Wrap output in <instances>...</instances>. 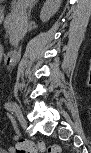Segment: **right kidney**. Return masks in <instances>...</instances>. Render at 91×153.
I'll list each match as a JSON object with an SVG mask.
<instances>
[{
    "instance_id": "obj_1",
    "label": "right kidney",
    "mask_w": 91,
    "mask_h": 153,
    "mask_svg": "<svg viewBox=\"0 0 91 153\" xmlns=\"http://www.w3.org/2000/svg\"><path fill=\"white\" fill-rule=\"evenodd\" d=\"M57 11V7L50 4V2H46L43 6L41 13H40V19L42 22H47Z\"/></svg>"
}]
</instances>
